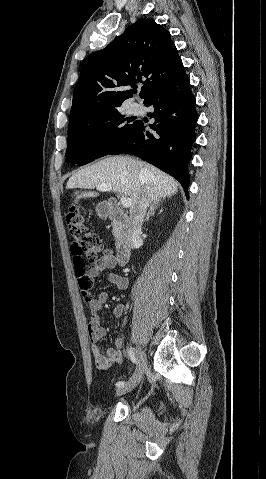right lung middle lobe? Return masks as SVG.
I'll list each match as a JSON object with an SVG mask.
<instances>
[{
	"label": "right lung middle lobe",
	"instance_id": "obj_1",
	"mask_svg": "<svg viewBox=\"0 0 266 479\" xmlns=\"http://www.w3.org/2000/svg\"><path fill=\"white\" fill-rule=\"evenodd\" d=\"M131 121L118 108L69 121L67 161L82 166L109 154L135 125Z\"/></svg>",
	"mask_w": 266,
	"mask_h": 479
}]
</instances>
